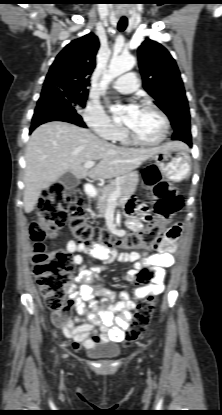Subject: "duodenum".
Instances as JSON below:
<instances>
[{
	"instance_id": "obj_1",
	"label": "duodenum",
	"mask_w": 222,
	"mask_h": 415,
	"mask_svg": "<svg viewBox=\"0 0 222 415\" xmlns=\"http://www.w3.org/2000/svg\"><path fill=\"white\" fill-rule=\"evenodd\" d=\"M85 192H86L87 197L90 198V199L93 198L94 195H95V190H94L93 186H91V185L86 186ZM95 253L99 256L106 254L105 250H101V249L95 251Z\"/></svg>"
}]
</instances>
